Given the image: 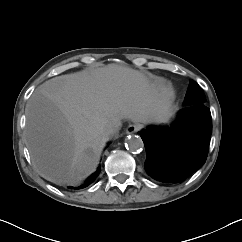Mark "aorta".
Wrapping results in <instances>:
<instances>
[{
	"instance_id": "1",
	"label": "aorta",
	"mask_w": 242,
	"mask_h": 242,
	"mask_svg": "<svg viewBox=\"0 0 242 242\" xmlns=\"http://www.w3.org/2000/svg\"><path fill=\"white\" fill-rule=\"evenodd\" d=\"M126 147L131 151H139L144 147L143 141L139 136H128L126 140Z\"/></svg>"
}]
</instances>
